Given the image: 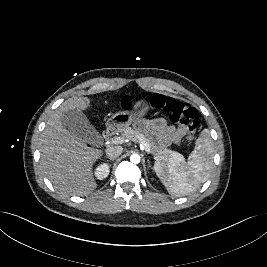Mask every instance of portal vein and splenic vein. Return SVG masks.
<instances>
[{
    "label": "portal vein and splenic vein",
    "mask_w": 267,
    "mask_h": 267,
    "mask_svg": "<svg viewBox=\"0 0 267 267\" xmlns=\"http://www.w3.org/2000/svg\"><path fill=\"white\" fill-rule=\"evenodd\" d=\"M111 142L113 144H122L124 140L122 137H114ZM140 149L145 150L147 153H150V148L144 143H140Z\"/></svg>",
    "instance_id": "obj_1"
}]
</instances>
